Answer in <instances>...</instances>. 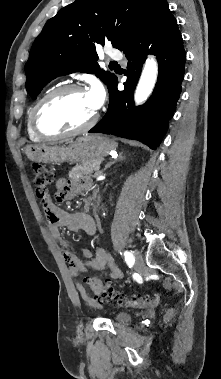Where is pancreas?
<instances>
[{"label": "pancreas", "instance_id": "obj_1", "mask_svg": "<svg viewBox=\"0 0 221 379\" xmlns=\"http://www.w3.org/2000/svg\"><path fill=\"white\" fill-rule=\"evenodd\" d=\"M101 163V159H94L83 161L81 164H76V166L69 172L70 179H76L80 175H91L93 172H98V166Z\"/></svg>", "mask_w": 221, "mask_h": 379}]
</instances>
